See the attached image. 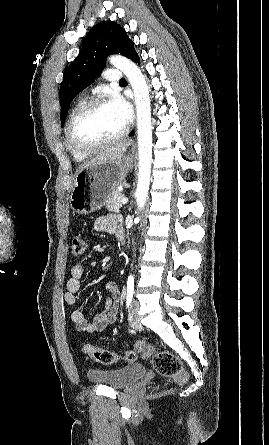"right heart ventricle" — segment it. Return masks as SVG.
<instances>
[{
    "mask_svg": "<svg viewBox=\"0 0 269 445\" xmlns=\"http://www.w3.org/2000/svg\"><path fill=\"white\" fill-rule=\"evenodd\" d=\"M83 103H84V101H79V102L75 105V107H74L73 110H72L71 116L73 115V113H74V112H75V111H76V110H77ZM67 147H68V149H69V151H70L72 157H73L76 161L81 162V161L85 160V159L88 157V155L79 154V153L75 152L74 150H72V149L70 148V146L68 145V143H67Z\"/></svg>",
    "mask_w": 269,
    "mask_h": 445,
    "instance_id": "right-heart-ventricle-1",
    "label": "right heart ventricle"
}]
</instances>
